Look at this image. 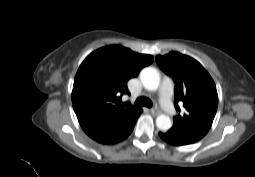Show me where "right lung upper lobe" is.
<instances>
[{"mask_svg": "<svg viewBox=\"0 0 255 177\" xmlns=\"http://www.w3.org/2000/svg\"><path fill=\"white\" fill-rule=\"evenodd\" d=\"M152 62L153 56L120 45L100 48L86 57L75 76L72 103L89 137L140 109L122 103V96L129 93L128 80Z\"/></svg>", "mask_w": 255, "mask_h": 177, "instance_id": "cb5924a9", "label": "right lung upper lobe"}]
</instances>
